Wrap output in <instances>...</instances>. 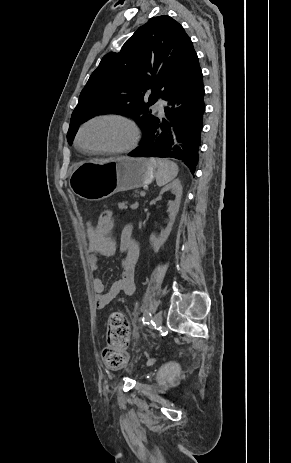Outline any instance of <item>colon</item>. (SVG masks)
Here are the masks:
<instances>
[{"mask_svg": "<svg viewBox=\"0 0 291 463\" xmlns=\"http://www.w3.org/2000/svg\"><path fill=\"white\" fill-rule=\"evenodd\" d=\"M114 228V212L110 208H101L98 214V232L105 233ZM107 345L102 352L105 367L109 369L122 368L128 359L125 351L129 339V326L124 316L119 312L112 313L108 318Z\"/></svg>", "mask_w": 291, "mask_h": 463, "instance_id": "colon-1", "label": "colon"}]
</instances>
